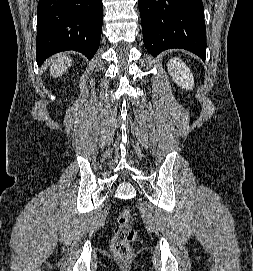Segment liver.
I'll list each match as a JSON object with an SVG mask.
<instances>
[{
	"instance_id": "obj_1",
	"label": "liver",
	"mask_w": 253,
	"mask_h": 271,
	"mask_svg": "<svg viewBox=\"0 0 253 271\" xmlns=\"http://www.w3.org/2000/svg\"><path fill=\"white\" fill-rule=\"evenodd\" d=\"M72 64L71 58H68L65 54L60 55L57 59L52 61V65L50 67V73L52 77H58L62 75L64 71L68 69Z\"/></svg>"
}]
</instances>
